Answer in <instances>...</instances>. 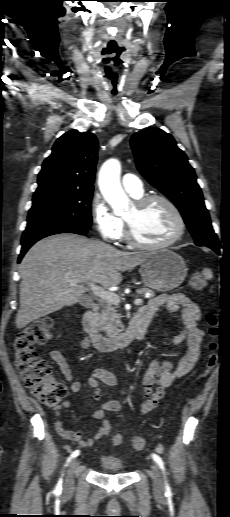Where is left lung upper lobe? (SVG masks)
<instances>
[{
	"label": "left lung upper lobe",
	"instance_id": "obj_1",
	"mask_svg": "<svg viewBox=\"0 0 230 517\" xmlns=\"http://www.w3.org/2000/svg\"><path fill=\"white\" fill-rule=\"evenodd\" d=\"M131 147L138 170L180 210L195 244L219 245L195 171L174 138L161 129L148 128L132 136Z\"/></svg>",
	"mask_w": 230,
	"mask_h": 517
}]
</instances>
